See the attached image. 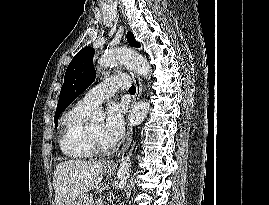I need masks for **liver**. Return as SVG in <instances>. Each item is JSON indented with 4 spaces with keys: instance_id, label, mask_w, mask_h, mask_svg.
<instances>
[{
    "instance_id": "1",
    "label": "liver",
    "mask_w": 269,
    "mask_h": 205,
    "mask_svg": "<svg viewBox=\"0 0 269 205\" xmlns=\"http://www.w3.org/2000/svg\"><path fill=\"white\" fill-rule=\"evenodd\" d=\"M103 171L101 162L77 159L57 164L53 174L56 205H74L80 195L98 187Z\"/></svg>"
}]
</instances>
